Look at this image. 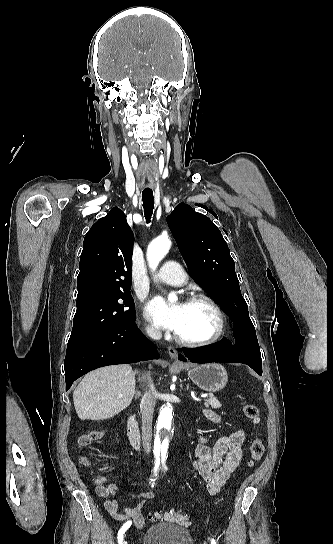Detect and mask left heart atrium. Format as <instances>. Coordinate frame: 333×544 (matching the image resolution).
Instances as JSON below:
<instances>
[{
    "label": "left heart atrium",
    "mask_w": 333,
    "mask_h": 544,
    "mask_svg": "<svg viewBox=\"0 0 333 544\" xmlns=\"http://www.w3.org/2000/svg\"><path fill=\"white\" fill-rule=\"evenodd\" d=\"M184 308V303L168 305L161 297H156L149 303L147 315L156 325L177 332Z\"/></svg>",
    "instance_id": "39dd6f15"
}]
</instances>
